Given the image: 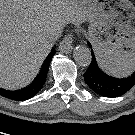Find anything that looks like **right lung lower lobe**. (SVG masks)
<instances>
[{"label":"right lung lower lobe","mask_w":135,"mask_h":135,"mask_svg":"<svg viewBox=\"0 0 135 135\" xmlns=\"http://www.w3.org/2000/svg\"><path fill=\"white\" fill-rule=\"evenodd\" d=\"M54 54H55V50L53 48L51 53L48 55V57L44 61L38 76L30 85H28L25 88L14 90V91L0 88V95L5 98L16 100V101L28 100L32 98L33 96H35L45 84L47 73L49 70V64Z\"/></svg>","instance_id":"obj_1"}]
</instances>
